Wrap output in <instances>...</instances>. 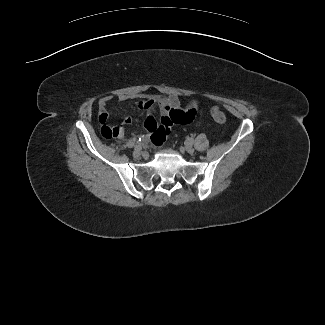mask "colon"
Segmentation results:
<instances>
[{"label":"colon","instance_id":"colon-1","mask_svg":"<svg viewBox=\"0 0 325 325\" xmlns=\"http://www.w3.org/2000/svg\"><path fill=\"white\" fill-rule=\"evenodd\" d=\"M211 115L214 118V120L218 123L222 124L226 121V117H225L224 113H222L217 107L211 108ZM101 135L106 139L117 137L118 128L105 126L101 130Z\"/></svg>","mask_w":325,"mask_h":325}]
</instances>
